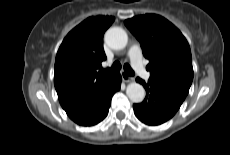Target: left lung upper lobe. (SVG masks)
Masks as SVG:
<instances>
[{
    "label": "left lung upper lobe",
    "instance_id": "obj_1",
    "mask_svg": "<svg viewBox=\"0 0 230 155\" xmlns=\"http://www.w3.org/2000/svg\"><path fill=\"white\" fill-rule=\"evenodd\" d=\"M139 40L149 59V80L184 100L193 80L190 46L182 33L167 19L146 14L124 21Z\"/></svg>",
    "mask_w": 230,
    "mask_h": 155
}]
</instances>
